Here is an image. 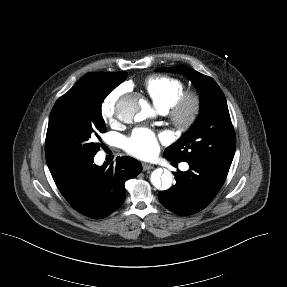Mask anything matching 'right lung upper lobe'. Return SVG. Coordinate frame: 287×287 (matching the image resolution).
I'll return each instance as SVG.
<instances>
[{"label": "right lung upper lobe", "instance_id": "cb5924a9", "mask_svg": "<svg viewBox=\"0 0 287 287\" xmlns=\"http://www.w3.org/2000/svg\"><path fill=\"white\" fill-rule=\"evenodd\" d=\"M93 75H98L102 78V80L114 87L118 86L121 82H123L127 76L126 72H115V73H88L85 76L81 77L79 80H83L87 77L93 76ZM51 175L53 179L57 178L60 176L66 169H57V168H50Z\"/></svg>", "mask_w": 287, "mask_h": 287}]
</instances>
